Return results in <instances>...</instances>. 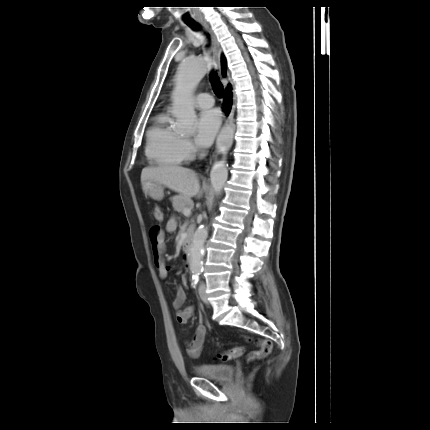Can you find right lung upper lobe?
<instances>
[{"label":"right lung upper lobe","mask_w":430,"mask_h":430,"mask_svg":"<svg viewBox=\"0 0 430 430\" xmlns=\"http://www.w3.org/2000/svg\"><path fill=\"white\" fill-rule=\"evenodd\" d=\"M222 70H223V75L225 76V70H226V64H225V59H222Z\"/></svg>","instance_id":"cb5924a9"}]
</instances>
